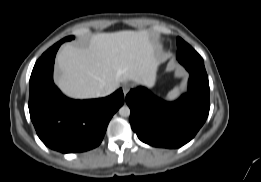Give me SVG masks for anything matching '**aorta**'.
Instances as JSON below:
<instances>
[{"mask_svg":"<svg viewBox=\"0 0 261 182\" xmlns=\"http://www.w3.org/2000/svg\"><path fill=\"white\" fill-rule=\"evenodd\" d=\"M119 114L122 117H128L130 115V108L127 105L122 106L119 109Z\"/></svg>","mask_w":261,"mask_h":182,"instance_id":"aorta-1","label":"aorta"}]
</instances>
